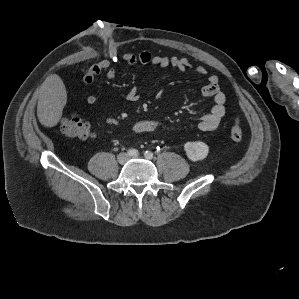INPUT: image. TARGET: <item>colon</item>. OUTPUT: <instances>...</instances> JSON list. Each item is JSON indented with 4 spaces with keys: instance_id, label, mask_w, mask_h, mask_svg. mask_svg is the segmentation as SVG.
<instances>
[{
    "instance_id": "colon-1",
    "label": "colon",
    "mask_w": 299,
    "mask_h": 299,
    "mask_svg": "<svg viewBox=\"0 0 299 299\" xmlns=\"http://www.w3.org/2000/svg\"><path fill=\"white\" fill-rule=\"evenodd\" d=\"M60 128L64 135L76 139H87L92 135L91 125L79 113L64 117L60 122ZM229 137L233 141H240L243 138V129L239 118L235 119Z\"/></svg>"
}]
</instances>
